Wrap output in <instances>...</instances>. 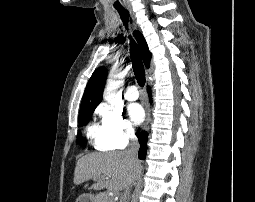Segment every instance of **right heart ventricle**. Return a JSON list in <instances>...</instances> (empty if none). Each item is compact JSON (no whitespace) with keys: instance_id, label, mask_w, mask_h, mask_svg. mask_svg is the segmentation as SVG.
I'll return each mask as SVG.
<instances>
[{"instance_id":"right-heart-ventricle-1","label":"right heart ventricle","mask_w":255,"mask_h":202,"mask_svg":"<svg viewBox=\"0 0 255 202\" xmlns=\"http://www.w3.org/2000/svg\"><path fill=\"white\" fill-rule=\"evenodd\" d=\"M88 138L99 148H102V128L96 123L89 125L87 129Z\"/></svg>"}]
</instances>
